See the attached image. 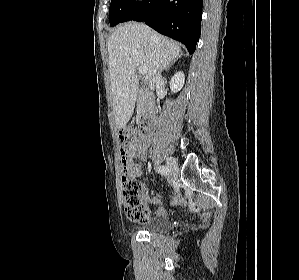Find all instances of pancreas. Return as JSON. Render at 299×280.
<instances>
[{
  "mask_svg": "<svg viewBox=\"0 0 299 280\" xmlns=\"http://www.w3.org/2000/svg\"><path fill=\"white\" fill-rule=\"evenodd\" d=\"M138 114H139V116L142 114V106L141 105L138 106Z\"/></svg>",
  "mask_w": 299,
  "mask_h": 280,
  "instance_id": "pancreas-1",
  "label": "pancreas"
}]
</instances>
